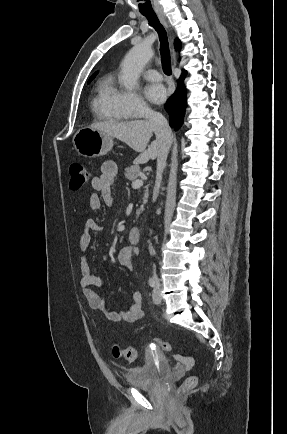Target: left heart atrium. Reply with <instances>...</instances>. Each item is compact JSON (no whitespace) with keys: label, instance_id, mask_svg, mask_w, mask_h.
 Masks as SVG:
<instances>
[{"label":"left heart atrium","instance_id":"39dd6f15","mask_svg":"<svg viewBox=\"0 0 287 434\" xmlns=\"http://www.w3.org/2000/svg\"><path fill=\"white\" fill-rule=\"evenodd\" d=\"M145 95L153 103H162L166 98V90L160 84H151L145 88Z\"/></svg>","mask_w":287,"mask_h":434}]
</instances>
